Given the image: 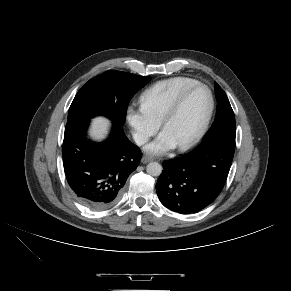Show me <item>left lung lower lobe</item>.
Here are the masks:
<instances>
[{
  "label": "left lung lower lobe",
  "instance_id": "obj_1",
  "mask_svg": "<svg viewBox=\"0 0 291 291\" xmlns=\"http://www.w3.org/2000/svg\"><path fill=\"white\" fill-rule=\"evenodd\" d=\"M235 150V139L220 137L163 163L156 191L161 203L180 214L197 213L222 191Z\"/></svg>",
  "mask_w": 291,
  "mask_h": 291
}]
</instances>
